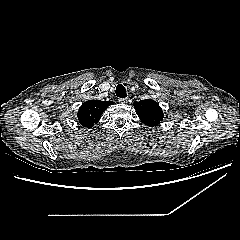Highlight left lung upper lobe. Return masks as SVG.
<instances>
[{
  "label": "left lung upper lobe",
  "instance_id": "5c2ea615",
  "mask_svg": "<svg viewBox=\"0 0 240 240\" xmlns=\"http://www.w3.org/2000/svg\"><path fill=\"white\" fill-rule=\"evenodd\" d=\"M133 105L142 123L150 127L160 124L163 118V112L156 101L146 99L134 102Z\"/></svg>",
  "mask_w": 240,
  "mask_h": 240
}]
</instances>
